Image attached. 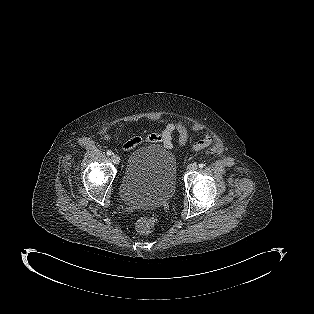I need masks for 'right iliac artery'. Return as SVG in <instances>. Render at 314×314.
I'll use <instances>...</instances> for the list:
<instances>
[{"mask_svg":"<svg viewBox=\"0 0 314 314\" xmlns=\"http://www.w3.org/2000/svg\"><path fill=\"white\" fill-rule=\"evenodd\" d=\"M107 155H108V156H111V155H113V153L108 150V151H107Z\"/></svg>","mask_w":314,"mask_h":314,"instance_id":"82829eb1","label":"right iliac artery"}]
</instances>
